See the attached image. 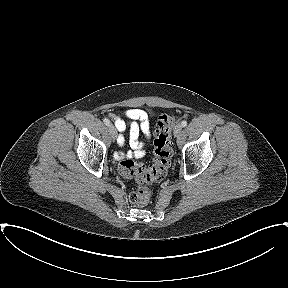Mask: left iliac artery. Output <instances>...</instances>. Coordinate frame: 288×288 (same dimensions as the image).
Instances as JSON below:
<instances>
[{
	"label": "left iliac artery",
	"instance_id": "44dca946",
	"mask_svg": "<svg viewBox=\"0 0 288 288\" xmlns=\"http://www.w3.org/2000/svg\"><path fill=\"white\" fill-rule=\"evenodd\" d=\"M181 126H182V127L187 126V121H186V120H183V121L181 122Z\"/></svg>",
	"mask_w": 288,
	"mask_h": 288
}]
</instances>
